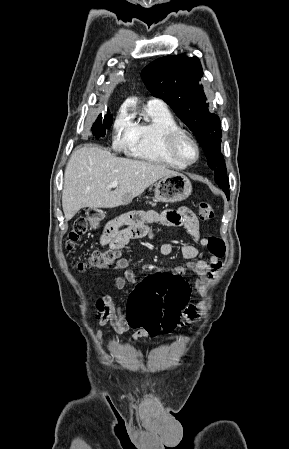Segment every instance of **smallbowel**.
<instances>
[{"label":"small bowel","instance_id":"1","mask_svg":"<svg viewBox=\"0 0 289 449\" xmlns=\"http://www.w3.org/2000/svg\"><path fill=\"white\" fill-rule=\"evenodd\" d=\"M162 224L166 226H182L193 238L194 243L185 244L181 248L182 256L188 260L185 266H176L172 269L178 277L183 278L187 272L196 275L194 286L198 290L204 289L205 285L214 277L221 268V259L213 255L208 250V239L200 235L199 220L188 208L181 207L176 210H166L161 213L154 211H139L131 214L126 218H120L110 222L101 238V245H108L115 250L123 249L131 239L148 237L155 240V234L150 228L151 224ZM156 250L162 255H170L173 247L169 243L155 245ZM200 248L208 250V260H193L199 254ZM115 270H123L124 275L114 279V287L117 290H123L128 283H136L137 276L129 268V261L126 258H119L114 266ZM153 265L146 264L142 267V271L153 270ZM204 303L199 302L197 305L188 306L184 310L183 323H194L200 320L201 311ZM99 325L104 326L110 324L118 333L127 332L132 328L117 307L113 299L109 295H105L102 300V311L98 320ZM150 335L144 329H137L132 335L131 340L136 341L139 338H148ZM98 338H101V332H98Z\"/></svg>","mask_w":289,"mask_h":449}]
</instances>
